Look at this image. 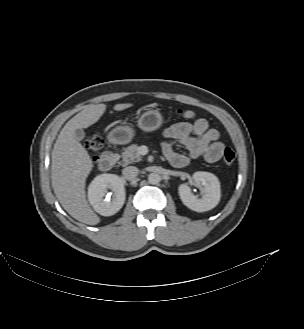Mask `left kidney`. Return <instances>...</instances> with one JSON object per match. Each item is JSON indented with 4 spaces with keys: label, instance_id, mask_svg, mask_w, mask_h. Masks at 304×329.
<instances>
[{
    "label": "left kidney",
    "instance_id": "1",
    "mask_svg": "<svg viewBox=\"0 0 304 329\" xmlns=\"http://www.w3.org/2000/svg\"><path fill=\"white\" fill-rule=\"evenodd\" d=\"M192 179L196 184L203 186V195L198 198L187 184H181L178 191L183 204L196 212L209 211L217 206L221 197L218 178L212 173L198 171L192 175Z\"/></svg>",
    "mask_w": 304,
    "mask_h": 329
}]
</instances>
